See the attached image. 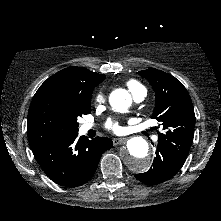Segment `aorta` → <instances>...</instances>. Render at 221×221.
Returning a JSON list of instances; mask_svg holds the SVG:
<instances>
[{
	"label": "aorta",
	"instance_id": "obj_1",
	"mask_svg": "<svg viewBox=\"0 0 221 221\" xmlns=\"http://www.w3.org/2000/svg\"><path fill=\"white\" fill-rule=\"evenodd\" d=\"M109 102L113 110L125 112L131 105V96L125 89H116L110 94ZM122 161L136 173L148 170L151 165L148 142L141 136L130 138L122 152Z\"/></svg>",
	"mask_w": 221,
	"mask_h": 221
}]
</instances>
